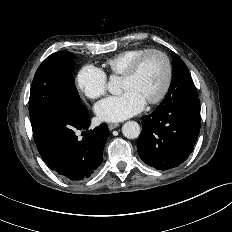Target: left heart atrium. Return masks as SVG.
<instances>
[{
    "label": "left heart atrium",
    "instance_id": "1",
    "mask_svg": "<svg viewBox=\"0 0 232 232\" xmlns=\"http://www.w3.org/2000/svg\"><path fill=\"white\" fill-rule=\"evenodd\" d=\"M145 101L131 90L117 96H110L98 102L95 112L98 118L106 122H119L142 111Z\"/></svg>",
    "mask_w": 232,
    "mask_h": 232
}]
</instances>
